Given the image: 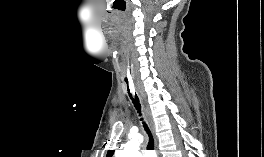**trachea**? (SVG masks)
<instances>
[{"label": "trachea", "instance_id": "obj_1", "mask_svg": "<svg viewBox=\"0 0 264 157\" xmlns=\"http://www.w3.org/2000/svg\"><path fill=\"white\" fill-rule=\"evenodd\" d=\"M123 79L127 85V93L132 100V103H134V106L139 110V116H142L141 110H140V104L138 103L139 99L134 91V85H133V78L131 73V68L129 65L128 60L125 61L124 69H123ZM140 120L143 121V118L141 117ZM143 127L146 131V133L149 136V142L147 145V150H153L154 148V140L152 137V134L147 126V124L143 121Z\"/></svg>", "mask_w": 264, "mask_h": 157}]
</instances>
